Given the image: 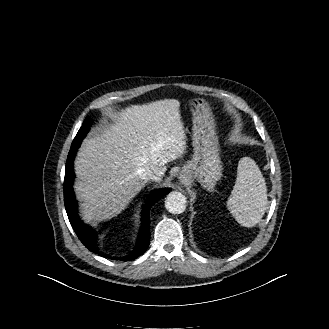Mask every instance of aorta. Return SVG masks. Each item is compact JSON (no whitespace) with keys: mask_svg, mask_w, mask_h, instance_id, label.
Instances as JSON below:
<instances>
[{"mask_svg":"<svg viewBox=\"0 0 329 329\" xmlns=\"http://www.w3.org/2000/svg\"><path fill=\"white\" fill-rule=\"evenodd\" d=\"M165 207L172 214H181L186 209V197L180 192L173 191L167 195Z\"/></svg>","mask_w":329,"mask_h":329,"instance_id":"1","label":"aorta"}]
</instances>
